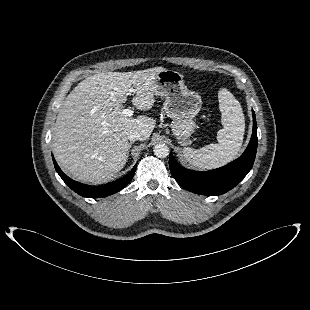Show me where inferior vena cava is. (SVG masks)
Listing matches in <instances>:
<instances>
[{
  "instance_id": "602c4592",
  "label": "inferior vena cava",
  "mask_w": 310,
  "mask_h": 310,
  "mask_svg": "<svg viewBox=\"0 0 310 310\" xmlns=\"http://www.w3.org/2000/svg\"><path fill=\"white\" fill-rule=\"evenodd\" d=\"M128 139L130 141H134V140H142L143 136L142 133L137 131V130H132L128 133Z\"/></svg>"
}]
</instances>
